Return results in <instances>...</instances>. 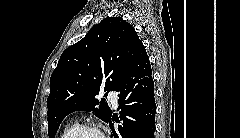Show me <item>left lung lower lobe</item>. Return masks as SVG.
<instances>
[{
    "mask_svg": "<svg viewBox=\"0 0 240 138\" xmlns=\"http://www.w3.org/2000/svg\"><path fill=\"white\" fill-rule=\"evenodd\" d=\"M120 125L113 127L114 116L107 123L114 138H153L155 132L156 104L154 82L149 57L142 46L124 81L117 89ZM118 122V121H117Z\"/></svg>",
    "mask_w": 240,
    "mask_h": 138,
    "instance_id": "obj_1",
    "label": "left lung lower lobe"
}]
</instances>
